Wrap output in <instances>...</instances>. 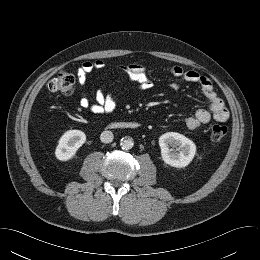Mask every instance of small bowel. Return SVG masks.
Wrapping results in <instances>:
<instances>
[{"label": "small bowel", "instance_id": "small-bowel-1", "mask_svg": "<svg viewBox=\"0 0 260 260\" xmlns=\"http://www.w3.org/2000/svg\"><path fill=\"white\" fill-rule=\"evenodd\" d=\"M106 64L101 60L85 61L76 70L78 83L84 86L87 76L93 71H101ZM117 69L127 75L137 85L140 91H147L151 88V81L148 76V68L141 63H130L126 65H118ZM170 74L175 78L194 83L200 86L202 92L210 102L209 109H198L192 116L186 119V126L190 130H195L203 124L208 123L211 119L218 122H224L229 117V112L225 102L215 92L212 82L204 75L193 70H185L178 65H172L168 68ZM172 90H178L180 84L178 82L170 83ZM80 107L89 109L96 116L107 115L116 108V98L113 94H107L101 90L97 91L95 102L90 103L86 96L80 99Z\"/></svg>", "mask_w": 260, "mask_h": 260}]
</instances>
